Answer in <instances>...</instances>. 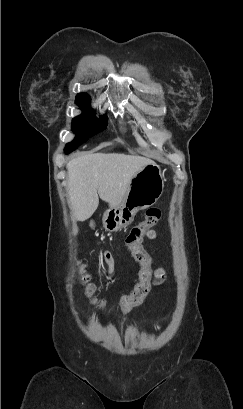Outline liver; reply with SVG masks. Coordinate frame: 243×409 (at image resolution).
<instances>
[{
	"mask_svg": "<svg viewBox=\"0 0 243 409\" xmlns=\"http://www.w3.org/2000/svg\"><path fill=\"white\" fill-rule=\"evenodd\" d=\"M150 163L153 161L148 158L122 153H88L71 159L66 167L72 218H90L99 197L111 208L119 206L133 176Z\"/></svg>",
	"mask_w": 243,
	"mask_h": 409,
	"instance_id": "obj_1",
	"label": "liver"
}]
</instances>
